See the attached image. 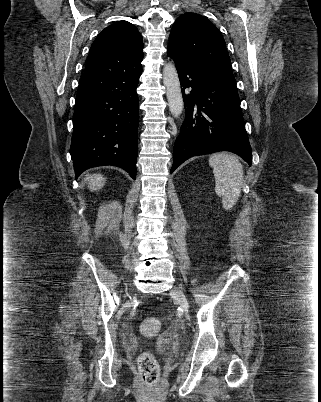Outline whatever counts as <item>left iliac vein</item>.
Wrapping results in <instances>:
<instances>
[{
  "label": "left iliac vein",
  "mask_w": 321,
  "mask_h": 402,
  "mask_svg": "<svg viewBox=\"0 0 321 402\" xmlns=\"http://www.w3.org/2000/svg\"><path fill=\"white\" fill-rule=\"evenodd\" d=\"M171 295H172V297L178 302V304L180 305V307H181L184 311H188V309H189V303H188V300H187V298H186L184 292H183L181 289H179V288H177V287H174V288L171 290Z\"/></svg>",
  "instance_id": "1"
}]
</instances>
